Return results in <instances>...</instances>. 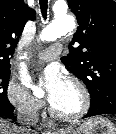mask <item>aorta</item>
<instances>
[{"instance_id": "762f6f07", "label": "aorta", "mask_w": 116, "mask_h": 134, "mask_svg": "<svg viewBox=\"0 0 116 134\" xmlns=\"http://www.w3.org/2000/svg\"><path fill=\"white\" fill-rule=\"evenodd\" d=\"M74 26L75 21L73 16L65 14L57 18L46 28H44L40 35V39L42 41H54L57 38L66 35L70 30L74 28ZM21 82L27 88L32 89L35 94L41 92L40 88L36 87L31 83V78L25 68H23V70L21 71Z\"/></svg>"}]
</instances>
